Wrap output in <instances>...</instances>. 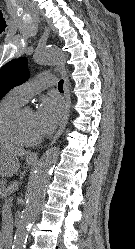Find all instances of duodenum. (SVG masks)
Masks as SVG:
<instances>
[{
    "label": "duodenum",
    "instance_id": "duodenum-1",
    "mask_svg": "<svg viewBox=\"0 0 135 249\" xmlns=\"http://www.w3.org/2000/svg\"><path fill=\"white\" fill-rule=\"evenodd\" d=\"M0 244L5 248V249H10L11 248V238L8 235H2L0 237Z\"/></svg>",
    "mask_w": 135,
    "mask_h": 249
}]
</instances>
